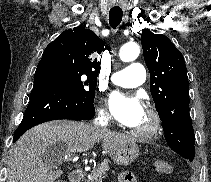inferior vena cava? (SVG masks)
Returning <instances> with one entry per match:
<instances>
[{"instance_id":"inferior-vena-cava-1","label":"inferior vena cava","mask_w":211,"mask_h":182,"mask_svg":"<svg viewBox=\"0 0 211 182\" xmlns=\"http://www.w3.org/2000/svg\"><path fill=\"white\" fill-rule=\"evenodd\" d=\"M107 123H108V117L104 114H99V117L95 120L94 126L98 127L99 131H106Z\"/></svg>"}]
</instances>
